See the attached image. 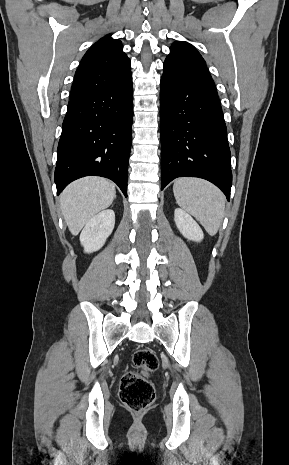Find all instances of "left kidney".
Here are the masks:
<instances>
[{
	"instance_id": "5707ae66",
	"label": "left kidney",
	"mask_w": 289,
	"mask_h": 465,
	"mask_svg": "<svg viewBox=\"0 0 289 465\" xmlns=\"http://www.w3.org/2000/svg\"><path fill=\"white\" fill-rule=\"evenodd\" d=\"M174 221L180 233L188 240L200 242L204 234L197 222L184 210L175 209Z\"/></svg>"
}]
</instances>
